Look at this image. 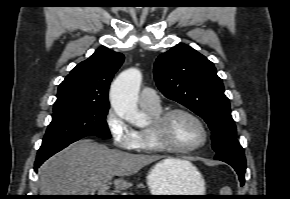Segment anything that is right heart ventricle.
I'll return each instance as SVG.
<instances>
[{"mask_svg": "<svg viewBox=\"0 0 290 199\" xmlns=\"http://www.w3.org/2000/svg\"><path fill=\"white\" fill-rule=\"evenodd\" d=\"M143 109L151 116L152 119L162 113L161 108L159 109L143 108ZM136 135H137L136 147L134 149L136 152H140V153L161 152V150L158 149L152 141V138L149 132V127L136 131Z\"/></svg>", "mask_w": 290, "mask_h": 199, "instance_id": "1", "label": "right heart ventricle"}]
</instances>
